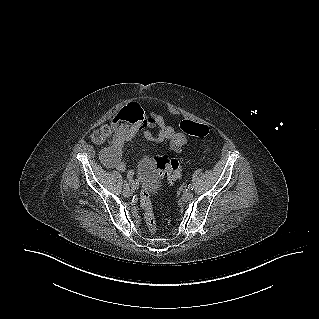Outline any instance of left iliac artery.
Returning <instances> with one entry per match:
<instances>
[{"label": "left iliac artery", "instance_id": "44dca946", "mask_svg": "<svg viewBox=\"0 0 319 319\" xmlns=\"http://www.w3.org/2000/svg\"><path fill=\"white\" fill-rule=\"evenodd\" d=\"M188 189L193 190V185L189 184Z\"/></svg>", "mask_w": 319, "mask_h": 319}]
</instances>
